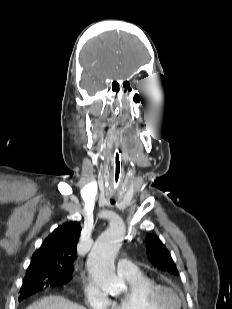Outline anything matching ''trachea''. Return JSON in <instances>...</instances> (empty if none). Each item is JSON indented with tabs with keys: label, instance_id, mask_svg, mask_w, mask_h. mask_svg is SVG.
Returning <instances> with one entry per match:
<instances>
[{
	"label": "trachea",
	"instance_id": "obj_1",
	"mask_svg": "<svg viewBox=\"0 0 232 309\" xmlns=\"http://www.w3.org/2000/svg\"><path fill=\"white\" fill-rule=\"evenodd\" d=\"M124 161L122 158L121 150L116 146L113 150V190L117 191L121 184L123 176ZM115 200L111 199V204H114Z\"/></svg>",
	"mask_w": 232,
	"mask_h": 309
}]
</instances>
